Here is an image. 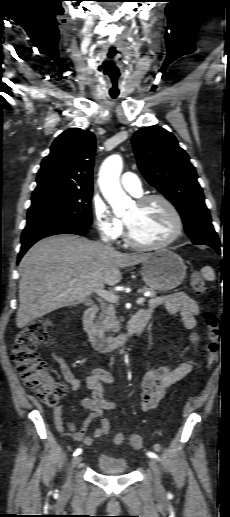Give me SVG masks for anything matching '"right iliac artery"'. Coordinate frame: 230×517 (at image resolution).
Returning <instances> with one entry per match:
<instances>
[{
	"mask_svg": "<svg viewBox=\"0 0 230 517\" xmlns=\"http://www.w3.org/2000/svg\"><path fill=\"white\" fill-rule=\"evenodd\" d=\"M81 453H82V449H81V448H77V449L75 450V452L73 453V456H77V455H79V454H81Z\"/></svg>",
	"mask_w": 230,
	"mask_h": 517,
	"instance_id": "right-iliac-artery-1",
	"label": "right iliac artery"
}]
</instances>
